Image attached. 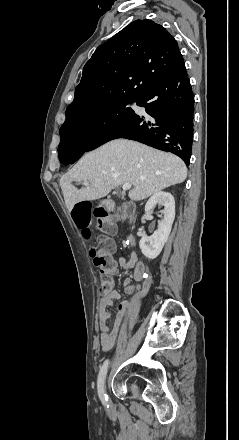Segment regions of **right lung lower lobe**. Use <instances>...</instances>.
<instances>
[{
  "mask_svg": "<svg viewBox=\"0 0 239 440\" xmlns=\"http://www.w3.org/2000/svg\"><path fill=\"white\" fill-rule=\"evenodd\" d=\"M146 117L132 114L97 136L86 148L66 147L58 152L64 165L77 161L85 152L116 138L142 142L170 151L189 165L193 141L194 95L183 58L166 76L152 84L137 100Z\"/></svg>",
  "mask_w": 239,
  "mask_h": 440,
  "instance_id": "obj_1",
  "label": "right lung lower lobe"
}]
</instances>
